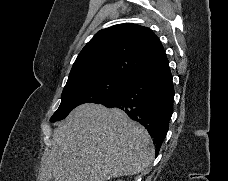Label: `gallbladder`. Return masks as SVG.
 Instances as JSON below:
<instances>
[{
  "instance_id": "1",
  "label": "gallbladder",
  "mask_w": 228,
  "mask_h": 181,
  "mask_svg": "<svg viewBox=\"0 0 228 181\" xmlns=\"http://www.w3.org/2000/svg\"><path fill=\"white\" fill-rule=\"evenodd\" d=\"M49 181H53V179H49Z\"/></svg>"
}]
</instances>
